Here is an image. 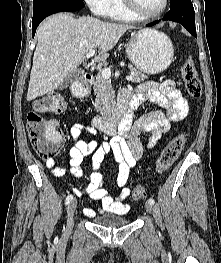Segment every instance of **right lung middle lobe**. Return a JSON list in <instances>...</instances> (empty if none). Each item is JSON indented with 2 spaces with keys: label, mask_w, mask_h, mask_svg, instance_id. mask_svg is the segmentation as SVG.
<instances>
[{
  "label": "right lung middle lobe",
  "mask_w": 221,
  "mask_h": 263,
  "mask_svg": "<svg viewBox=\"0 0 221 263\" xmlns=\"http://www.w3.org/2000/svg\"><path fill=\"white\" fill-rule=\"evenodd\" d=\"M83 3V0H33V13H37L41 10L66 4H78Z\"/></svg>",
  "instance_id": "right-lung-middle-lobe-1"
}]
</instances>
